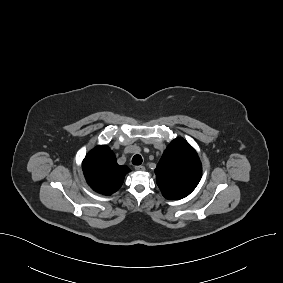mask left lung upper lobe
<instances>
[{
	"label": "left lung upper lobe",
	"instance_id": "obj_1",
	"mask_svg": "<svg viewBox=\"0 0 283 283\" xmlns=\"http://www.w3.org/2000/svg\"><path fill=\"white\" fill-rule=\"evenodd\" d=\"M157 184L167 199L189 195L199 183L202 165L196 151L183 138L174 139L155 169Z\"/></svg>",
	"mask_w": 283,
	"mask_h": 283
}]
</instances>
